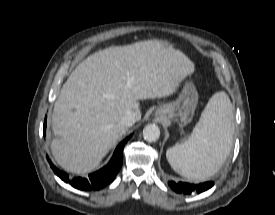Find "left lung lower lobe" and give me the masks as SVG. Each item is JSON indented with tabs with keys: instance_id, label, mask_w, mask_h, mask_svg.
<instances>
[{
	"instance_id": "0a47b994",
	"label": "left lung lower lobe",
	"mask_w": 275,
	"mask_h": 215,
	"mask_svg": "<svg viewBox=\"0 0 275 215\" xmlns=\"http://www.w3.org/2000/svg\"><path fill=\"white\" fill-rule=\"evenodd\" d=\"M168 184L175 192L183 194L201 193L208 190L214 185V183L211 181L199 184H189L185 182L175 183L173 181H170L168 182Z\"/></svg>"
}]
</instances>
